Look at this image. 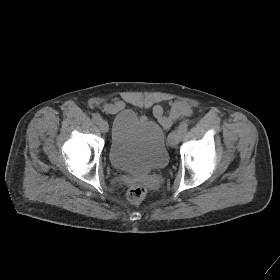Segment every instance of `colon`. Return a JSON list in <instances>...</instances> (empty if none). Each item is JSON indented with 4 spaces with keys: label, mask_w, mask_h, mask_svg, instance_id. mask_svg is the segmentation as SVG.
Listing matches in <instances>:
<instances>
[{
    "label": "colon",
    "mask_w": 280,
    "mask_h": 280,
    "mask_svg": "<svg viewBox=\"0 0 280 280\" xmlns=\"http://www.w3.org/2000/svg\"><path fill=\"white\" fill-rule=\"evenodd\" d=\"M147 190L142 184H134L132 185L126 194L128 201L131 203H139L146 196Z\"/></svg>",
    "instance_id": "obj_1"
}]
</instances>
